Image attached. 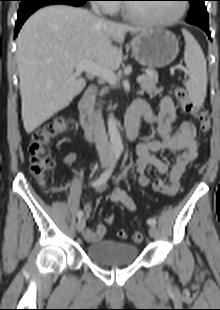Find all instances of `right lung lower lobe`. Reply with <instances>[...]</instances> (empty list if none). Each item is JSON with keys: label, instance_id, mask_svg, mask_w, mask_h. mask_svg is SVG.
I'll return each instance as SVG.
<instances>
[{"label": "right lung lower lobe", "instance_id": "1", "mask_svg": "<svg viewBox=\"0 0 220 310\" xmlns=\"http://www.w3.org/2000/svg\"><path fill=\"white\" fill-rule=\"evenodd\" d=\"M21 4L18 10V19L15 26V36H17L25 20L37 9L51 4H67L72 6H81L88 0H20Z\"/></svg>", "mask_w": 220, "mask_h": 310}]
</instances>
